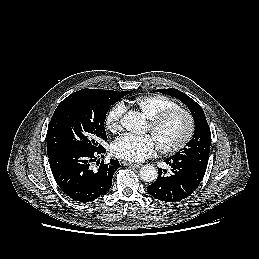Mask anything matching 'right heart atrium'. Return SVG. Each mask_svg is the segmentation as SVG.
<instances>
[{
    "label": "right heart atrium",
    "instance_id": "1",
    "mask_svg": "<svg viewBox=\"0 0 259 259\" xmlns=\"http://www.w3.org/2000/svg\"><path fill=\"white\" fill-rule=\"evenodd\" d=\"M125 105L122 102L114 104L105 116V126L112 132L116 133L121 129V121L125 113Z\"/></svg>",
    "mask_w": 259,
    "mask_h": 259
}]
</instances>
